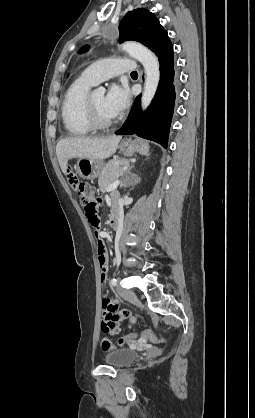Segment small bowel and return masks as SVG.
<instances>
[{
  "instance_id": "obj_1",
  "label": "small bowel",
  "mask_w": 255,
  "mask_h": 418,
  "mask_svg": "<svg viewBox=\"0 0 255 418\" xmlns=\"http://www.w3.org/2000/svg\"><path fill=\"white\" fill-rule=\"evenodd\" d=\"M95 253L98 256L100 265V283L102 288H105L108 276V259L105 248L107 242L102 240V236H97ZM103 322L102 329L104 332L112 330L113 332L119 331V325L124 319H129L131 322L134 321L131 313L128 310H120L119 303L117 300L112 298H103Z\"/></svg>"
}]
</instances>
